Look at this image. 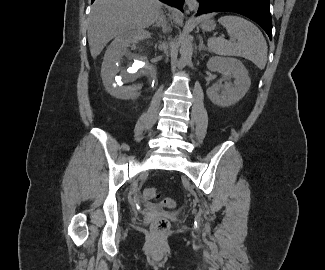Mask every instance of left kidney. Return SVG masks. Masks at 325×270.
Segmentation results:
<instances>
[{"label":"left kidney","instance_id":"left-kidney-1","mask_svg":"<svg viewBox=\"0 0 325 270\" xmlns=\"http://www.w3.org/2000/svg\"><path fill=\"white\" fill-rule=\"evenodd\" d=\"M210 71L230 72L233 84L213 85L207 89V96L217 106L228 107L241 100L250 88L248 71L240 60L214 56L207 62Z\"/></svg>","mask_w":325,"mask_h":270}]
</instances>
